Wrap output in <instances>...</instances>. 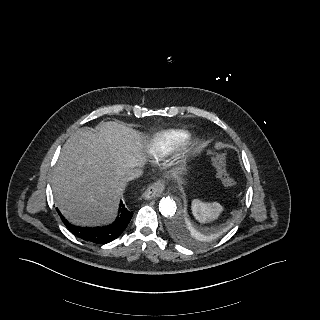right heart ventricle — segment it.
<instances>
[{"mask_svg":"<svg viewBox=\"0 0 320 320\" xmlns=\"http://www.w3.org/2000/svg\"><path fill=\"white\" fill-rule=\"evenodd\" d=\"M187 140L183 131H170L160 134L149 146V152L155 157H162L180 148Z\"/></svg>","mask_w":320,"mask_h":320,"instance_id":"e07e8e85","label":"right heart ventricle"}]
</instances>
